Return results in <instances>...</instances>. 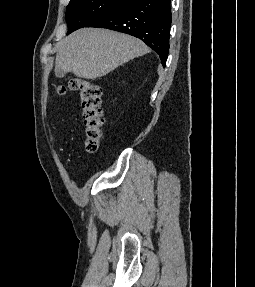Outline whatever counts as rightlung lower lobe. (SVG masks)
Listing matches in <instances>:
<instances>
[{"instance_id": "obj_1", "label": "right lung lower lobe", "mask_w": 255, "mask_h": 287, "mask_svg": "<svg viewBox=\"0 0 255 287\" xmlns=\"http://www.w3.org/2000/svg\"><path fill=\"white\" fill-rule=\"evenodd\" d=\"M171 0H128L87 27H100L135 36L160 57L165 66L169 52Z\"/></svg>"}]
</instances>
